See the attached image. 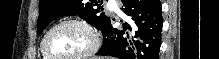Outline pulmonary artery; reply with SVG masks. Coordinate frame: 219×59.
<instances>
[{
    "label": "pulmonary artery",
    "mask_w": 219,
    "mask_h": 59,
    "mask_svg": "<svg viewBox=\"0 0 219 59\" xmlns=\"http://www.w3.org/2000/svg\"><path fill=\"white\" fill-rule=\"evenodd\" d=\"M108 7L111 9V10H114V11H117V5L115 4V1H108Z\"/></svg>",
    "instance_id": "e3ab8cb5"
}]
</instances>
